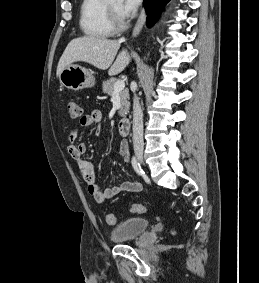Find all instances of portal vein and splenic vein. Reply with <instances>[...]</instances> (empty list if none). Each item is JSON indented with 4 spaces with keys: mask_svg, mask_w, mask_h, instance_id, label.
I'll return each mask as SVG.
<instances>
[{
    "mask_svg": "<svg viewBox=\"0 0 259 283\" xmlns=\"http://www.w3.org/2000/svg\"><path fill=\"white\" fill-rule=\"evenodd\" d=\"M125 88V82L123 80L117 81L114 85V93L120 92Z\"/></svg>",
    "mask_w": 259,
    "mask_h": 283,
    "instance_id": "18ae733b",
    "label": "portal vein and splenic vein"
}]
</instances>
